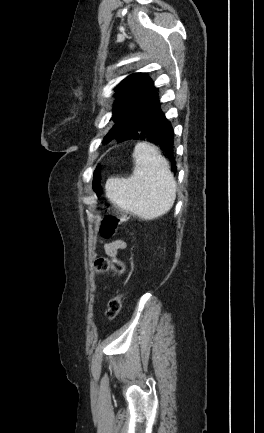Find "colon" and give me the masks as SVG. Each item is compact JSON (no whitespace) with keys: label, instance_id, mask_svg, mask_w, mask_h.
Instances as JSON below:
<instances>
[{"label":"colon","instance_id":"1","mask_svg":"<svg viewBox=\"0 0 264 433\" xmlns=\"http://www.w3.org/2000/svg\"><path fill=\"white\" fill-rule=\"evenodd\" d=\"M100 170L96 169L93 178V188L96 191L100 189ZM115 214L106 216L100 225V233L104 238L114 237L120 226L125 223L128 219V214L115 210ZM94 270L96 273H104L107 271H114L118 274H123L125 272L124 264L115 256H105L99 257L94 262ZM123 294L119 293L117 296L111 298L108 302L106 309V317L109 320H114L118 315L121 304H122Z\"/></svg>","mask_w":264,"mask_h":433}]
</instances>
